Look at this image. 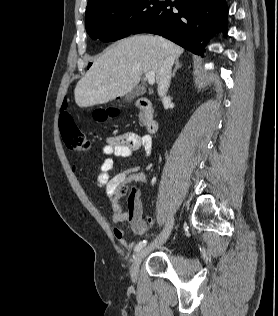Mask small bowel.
Returning <instances> with one entry per match:
<instances>
[{
    "instance_id": "small-bowel-1",
    "label": "small bowel",
    "mask_w": 278,
    "mask_h": 316,
    "mask_svg": "<svg viewBox=\"0 0 278 316\" xmlns=\"http://www.w3.org/2000/svg\"><path fill=\"white\" fill-rule=\"evenodd\" d=\"M141 149L144 150L146 156L151 154L152 142L148 135L127 132L108 137L106 144L102 148L105 159L101 164L97 179L99 186L104 188L110 202L117 208L112 214V221L115 224L128 222L132 232L138 236L146 233L148 226L154 224V219L151 217L143 218V209L138 191H133L129 195L126 210H121L118 207L117 193L121 187H125L132 182H147V176L141 172L140 166L130 167L114 176H111V172L114 168V157L127 158ZM113 234L125 248L131 249L133 247V243L126 239L122 228L115 227Z\"/></svg>"
}]
</instances>
